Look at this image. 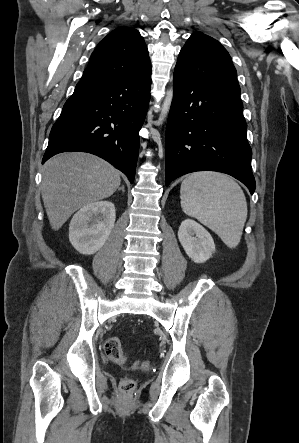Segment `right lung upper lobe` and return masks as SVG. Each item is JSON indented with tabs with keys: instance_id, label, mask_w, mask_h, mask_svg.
<instances>
[{
	"instance_id": "cb5924a9",
	"label": "right lung upper lobe",
	"mask_w": 299,
	"mask_h": 443,
	"mask_svg": "<svg viewBox=\"0 0 299 443\" xmlns=\"http://www.w3.org/2000/svg\"><path fill=\"white\" fill-rule=\"evenodd\" d=\"M150 73L151 63L143 37L134 28L120 27L97 45L80 82L144 77Z\"/></svg>"
}]
</instances>
